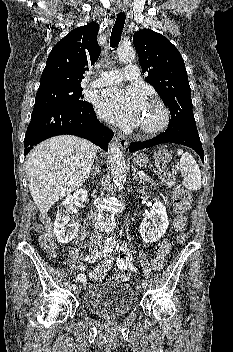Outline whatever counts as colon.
Listing matches in <instances>:
<instances>
[{
	"label": "colon",
	"instance_id": "obj_1",
	"mask_svg": "<svg viewBox=\"0 0 233 352\" xmlns=\"http://www.w3.org/2000/svg\"><path fill=\"white\" fill-rule=\"evenodd\" d=\"M171 155L167 151H161L157 154L156 163L157 171L163 181L168 185L174 186L173 191V209L175 216L173 219V228L179 232L185 229L187 225V213L192 205V196L189 191L176 184L173 174L168 169V163ZM40 246L42 249L50 254L56 253L57 245L54 240L53 231L50 225L46 226L44 235L40 239ZM171 250V242L169 239H163L157 246L156 255L152 261L154 270H161L164 266L165 260ZM112 266V259L107 258L98 264L91 272L93 279H98L104 276Z\"/></svg>",
	"mask_w": 233,
	"mask_h": 352
}]
</instances>
